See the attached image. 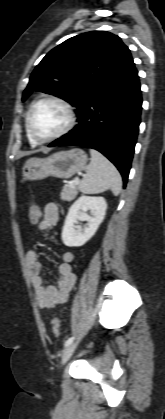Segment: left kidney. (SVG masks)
<instances>
[{
    "label": "left kidney",
    "instance_id": "1",
    "mask_svg": "<svg viewBox=\"0 0 165 419\" xmlns=\"http://www.w3.org/2000/svg\"><path fill=\"white\" fill-rule=\"evenodd\" d=\"M106 209L107 203L103 197L85 195L79 197L70 207L66 217L62 230L63 243L69 247L84 245L104 220ZM87 211H90V215ZM78 221H87L83 230L76 225Z\"/></svg>",
    "mask_w": 165,
    "mask_h": 419
}]
</instances>
